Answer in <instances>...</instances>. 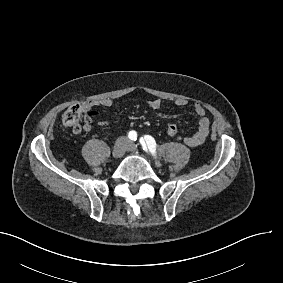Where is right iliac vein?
I'll list each match as a JSON object with an SVG mask.
<instances>
[{
    "label": "right iliac vein",
    "mask_w": 283,
    "mask_h": 283,
    "mask_svg": "<svg viewBox=\"0 0 283 283\" xmlns=\"http://www.w3.org/2000/svg\"><path fill=\"white\" fill-rule=\"evenodd\" d=\"M127 141L125 139L118 140L113 147L112 156L116 159L121 158L127 150Z\"/></svg>",
    "instance_id": "1"
}]
</instances>
